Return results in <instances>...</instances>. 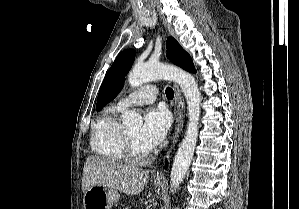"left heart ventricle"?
<instances>
[{
  "label": "left heart ventricle",
  "instance_id": "b2bd125f",
  "mask_svg": "<svg viewBox=\"0 0 299 209\" xmlns=\"http://www.w3.org/2000/svg\"><path fill=\"white\" fill-rule=\"evenodd\" d=\"M140 129V126H136L133 128H129L126 131L132 141L135 153L137 155H145L150 152V150L139 139Z\"/></svg>",
  "mask_w": 299,
  "mask_h": 209
}]
</instances>
